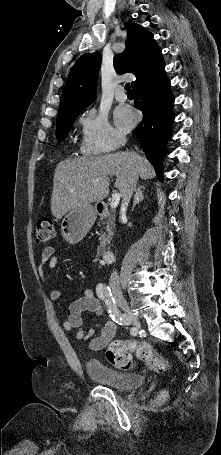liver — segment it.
I'll use <instances>...</instances> for the list:
<instances>
[{
    "instance_id": "1",
    "label": "liver",
    "mask_w": 221,
    "mask_h": 455,
    "mask_svg": "<svg viewBox=\"0 0 221 455\" xmlns=\"http://www.w3.org/2000/svg\"><path fill=\"white\" fill-rule=\"evenodd\" d=\"M136 151L116 152L91 159L61 161L54 173L51 211L61 219L79 205L98 202L109 194V175H115L114 186L123 194L128 178L136 172L141 179L155 177L147 159ZM100 178L99 181H95Z\"/></svg>"
}]
</instances>
